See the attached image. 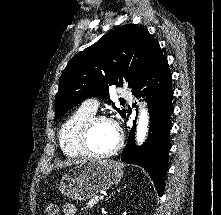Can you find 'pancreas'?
<instances>
[{
    "label": "pancreas",
    "instance_id": "1",
    "mask_svg": "<svg viewBox=\"0 0 221 215\" xmlns=\"http://www.w3.org/2000/svg\"><path fill=\"white\" fill-rule=\"evenodd\" d=\"M99 197L98 196H95L93 197L91 200L88 201L87 203V208H92L94 207L98 202H99Z\"/></svg>",
    "mask_w": 221,
    "mask_h": 215
}]
</instances>
